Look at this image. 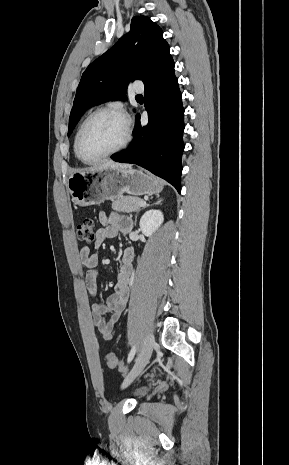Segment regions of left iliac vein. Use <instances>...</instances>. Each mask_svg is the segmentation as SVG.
Segmentation results:
<instances>
[{"label":"left iliac vein","instance_id":"1","mask_svg":"<svg viewBox=\"0 0 289 465\" xmlns=\"http://www.w3.org/2000/svg\"><path fill=\"white\" fill-rule=\"evenodd\" d=\"M154 345L155 339L153 334H148L144 340L143 346L135 361L134 366L125 377L123 387L128 386L142 372L151 357Z\"/></svg>","mask_w":289,"mask_h":465}]
</instances>
